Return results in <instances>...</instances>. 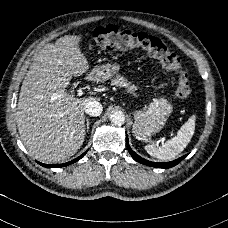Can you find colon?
Masks as SVG:
<instances>
[{
    "instance_id": "obj_1",
    "label": "colon",
    "mask_w": 228,
    "mask_h": 228,
    "mask_svg": "<svg viewBox=\"0 0 228 228\" xmlns=\"http://www.w3.org/2000/svg\"><path fill=\"white\" fill-rule=\"evenodd\" d=\"M93 40L100 48L131 49L142 47L158 59L171 73L174 94L185 98L190 94L187 70L182 60L158 37L113 25L99 26L93 32Z\"/></svg>"
}]
</instances>
